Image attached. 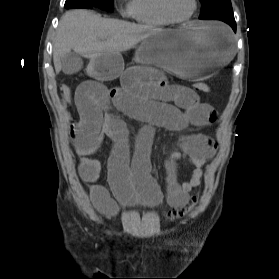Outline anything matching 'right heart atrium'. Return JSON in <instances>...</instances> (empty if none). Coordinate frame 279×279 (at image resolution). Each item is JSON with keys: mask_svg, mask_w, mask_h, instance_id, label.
<instances>
[{"mask_svg": "<svg viewBox=\"0 0 279 279\" xmlns=\"http://www.w3.org/2000/svg\"><path fill=\"white\" fill-rule=\"evenodd\" d=\"M120 1H125V7L123 9H121L122 14L125 16H131L133 0H120Z\"/></svg>", "mask_w": 279, "mask_h": 279, "instance_id": "1", "label": "right heart atrium"}]
</instances>
